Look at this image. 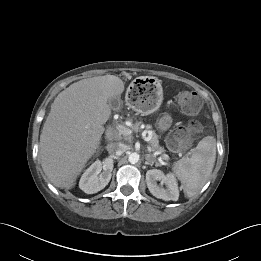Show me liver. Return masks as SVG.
I'll list each match as a JSON object with an SVG mask.
<instances>
[{"label":"liver","instance_id":"6515ba94","mask_svg":"<svg viewBox=\"0 0 261 261\" xmlns=\"http://www.w3.org/2000/svg\"><path fill=\"white\" fill-rule=\"evenodd\" d=\"M123 91L119 77L105 75L73 83L55 98L40 135L41 166L54 186L74 187L100 145L111 114L108 100Z\"/></svg>","mask_w":261,"mask_h":261}]
</instances>
